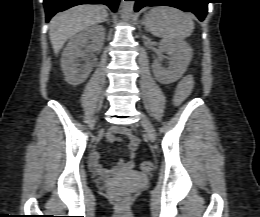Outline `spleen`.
Masks as SVG:
<instances>
[{"label": "spleen", "mask_w": 260, "mask_h": 217, "mask_svg": "<svg viewBox=\"0 0 260 217\" xmlns=\"http://www.w3.org/2000/svg\"><path fill=\"white\" fill-rule=\"evenodd\" d=\"M146 27L163 39L189 37L194 29L191 15L172 7H156L146 15Z\"/></svg>", "instance_id": "3e777b00"}]
</instances>
